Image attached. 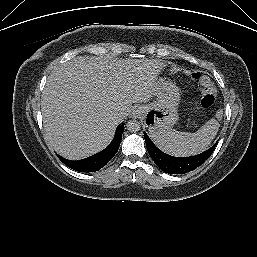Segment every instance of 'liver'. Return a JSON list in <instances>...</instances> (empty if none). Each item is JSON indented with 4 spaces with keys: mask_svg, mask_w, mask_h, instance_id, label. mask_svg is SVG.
<instances>
[{
    "mask_svg": "<svg viewBox=\"0 0 257 257\" xmlns=\"http://www.w3.org/2000/svg\"><path fill=\"white\" fill-rule=\"evenodd\" d=\"M165 64L155 59L78 56L47 79L41 111L45 137L61 156L78 160L104 149L133 103L148 102ZM116 114L122 118L117 120Z\"/></svg>",
    "mask_w": 257,
    "mask_h": 257,
    "instance_id": "6515ba94",
    "label": "liver"
}]
</instances>
